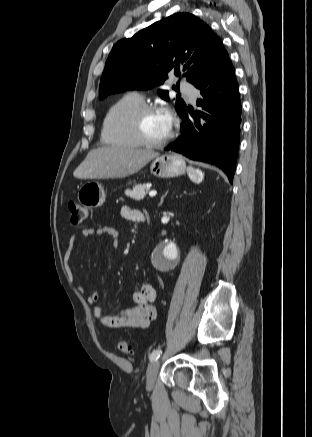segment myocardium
<instances>
[{
	"label": "myocardium",
	"mask_w": 312,
	"mask_h": 437,
	"mask_svg": "<svg viewBox=\"0 0 312 437\" xmlns=\"http://www.w3.org/2000/svg\"><path fill=\"white\" fill-rule=\"evenodd\" d=\"M161 109L152 104H142L140 107H138L132 114L131 117V128L133 131V134L137 141L140 143V145L148 146V147H160L168 144L172 138H173V132L170 131L168 136L164 138L163 140L155 141L149 139L143 131L142 128V122L145 116L154 113V112H160Z\"/></svg>",
	"instance_id": "myocardium-1"
}]
</instances>
